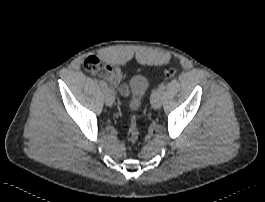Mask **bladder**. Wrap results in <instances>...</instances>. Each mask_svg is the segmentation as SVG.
<instances>
[{"label": "bladder", "instance_id": "obj_1", "mask_svg": "<svg viewBox=\"0 0 265 202\" xmlns=\"http://www.w3.org/2000/svg\"><path fill=\"white\" fill-rule=\"evenodd\" d=\"M129 102L135 108H138L141 105V101L148 88V80L142 74L134 75L130 79L129 83Z\"/></svg>", "mask_w": 265, "mask_h": 202}]
</instances>
